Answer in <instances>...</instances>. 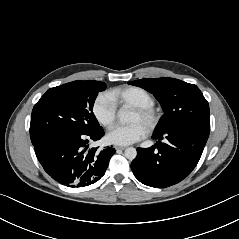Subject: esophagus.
<instances>
[{"label":"esophagus","instance_id":"34e87169","mask_svg":"<svg viewBox=\"0 0 239 239\" xmlns=\"http://www.w3.org/2000/svg\"><path fill=\"white\" fill-rule=\"evenodd\" d=\"M126 147H123V146H115V149L116 150H124Z\"/></svg>","mask_w":239,"mask_h":239}]
</instances>
